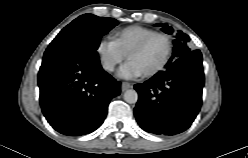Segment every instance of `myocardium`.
<instances>
[{"mask_svg":"<svg viewBox=\"0 0 248 158\" xmlns=\"http://www.w3.org/2000/svg\"><path fill=\"white\" fill-rule=\"evenodd\" d=\"M155 37H161L165 41L166 53H165L163 60L161 61V63L157 67H155L151 71L144 73V76H146V77H151V76L158 74L168 64V62L171 58V55H172V41H171L170 37L168 35H166L165 33H162V32L150 33L149 35L143 37L138 43H136L127 53V58L129 59L131 55L141 51L149 43V41Z\"/></svg>","mask_w":248,"mask_h":158,"instance_id":"obj_1","label":"myocardium"}]
</instances>
